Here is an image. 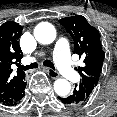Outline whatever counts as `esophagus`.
<instances>
[{
    "label": "esophagus",
    "mask_w": 117,
    "mask_h": 117,
    "mask_svg": "<svg viewBox=\"0 0 117 117\" xmlns=\"http://www.w3.org/2000/svg\"><path fill=\"white\" fill-rule=\"evenodd\" d=\"M47 69V72H48V75L53 78V79H56L59 77V74L57 71L51 69V68H46Z\"/></svg>",
    "instance_id": "34e87169"
}]
</instances>
